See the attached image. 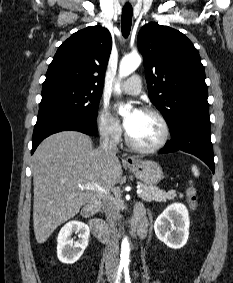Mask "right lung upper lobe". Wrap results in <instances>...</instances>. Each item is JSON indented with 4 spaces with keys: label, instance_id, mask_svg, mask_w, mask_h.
Returning <instances> with one entry per match:
<instances>
[{
    "label": "right lung upper lobe",
    "instance_id": "right-lung-upper-lobe-1",
    "mask_svg": "<svg viewBox=\"0 0 233 283\" xmlns=\"http://www.w3.org/2000/svg\"><path fill=\"white\" fill-rule=\"evenodd\" d=\"M111 48L110 32L102 26L74 33L59 46L44 83L61 82L102 91Z\"/></svg>",
    "mask_w": 233,
    "mask_h": 283
}]
</instances>
